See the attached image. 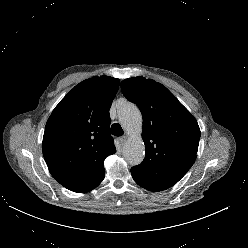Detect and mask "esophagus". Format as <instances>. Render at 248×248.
Instances as JSON below:
<instances>
[{"label":"esophagus","instance_id":"1","mask_svg":"<svg viewBox=\"0 0 248 248\" xmlns=\"http://www.w3.org/2000/svg\"><path fill=\"white\" fill-rule=\"evenodd\" d=\"M126 140H127V137L126 136H122V137L119 138V142H120V144L122 146L124 145V143L126 142Z\"/></svg>","mask_w":248,"mask_h":248}]
</instances>
